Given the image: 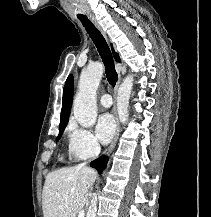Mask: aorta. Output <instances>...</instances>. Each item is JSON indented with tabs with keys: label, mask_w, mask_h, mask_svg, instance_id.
<instances>
[{
	"label": "aorta",
	"mask_w": 211,
	"mask_h": 217,
	"mask_svg": "<svg viewBox=\"0 0 211 217\" xmlns=\"http://www.w3.org/2000/svg\"><path fill=\"white\" fill-rule=\"evenodd\" d=\"M103 75V65L100 62L89 65L82 71L79 80L78 93L74 100L73 113L77 122L85 128H90L96 122L97 103L96 92ZM133 88V76L127 75L118 89L117 110L121 123L128 120V105ZM97 193H94L86 217H96Z\"/></svg>",
	"instance_id": "1"
}]
</instances>
